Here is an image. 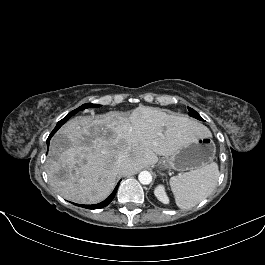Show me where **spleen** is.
<instances>
[{"label": "spleen", "instance_id": "1", "mask_svg": "<svg viewBox=\"0 0 265 265\" xmlns=\"http://www.w3.org/2000/svg\"><path fill=\"white\" fill-rule=\"evenodd\" d=\"M218 177L219 169L215 162L171 177L169 183L176 205L181 209L196 206L211 194L216 187Z\"/></svg>", "mask_w": 265, "mask_h": 265}]
</instances>
